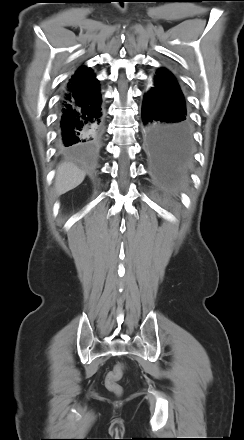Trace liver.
Wrapping results in <instances>:
<instances>
[{"label":"liver","instance_id":"1","mask_svg":"<svg viewBox=\"0 0 244 440\" xmlns=\"http://www.w3.org/2000/svg\"><path fill=\"white\" fill-rule=\"evenodd\" d=\"M85 172L72 163H62L58 166L55 178V192L62 195L80 185Z\"/></svg>","mask_w":244,"mask_h":440}]
</instances>
